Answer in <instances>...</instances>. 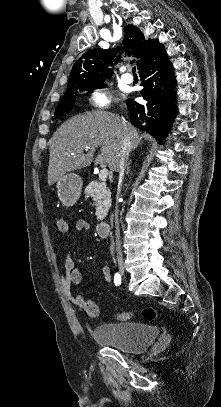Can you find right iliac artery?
I'll return each instance as SVG.
<instances>
[{"label":"right iliac artery","instance_id":"1","mask_svg":"<svg viewBox=\"0 0 221 407\" xmlns=\"http://www.w3.org/2000/svg\"><path fill=\"white\" fill-rule=\"evenodd\" d=\"M114 283H115L116 286L121 284V275L119 273L115 274Z\"/></svg>","mask_w":221,"mask_h":407}]
</instances>
